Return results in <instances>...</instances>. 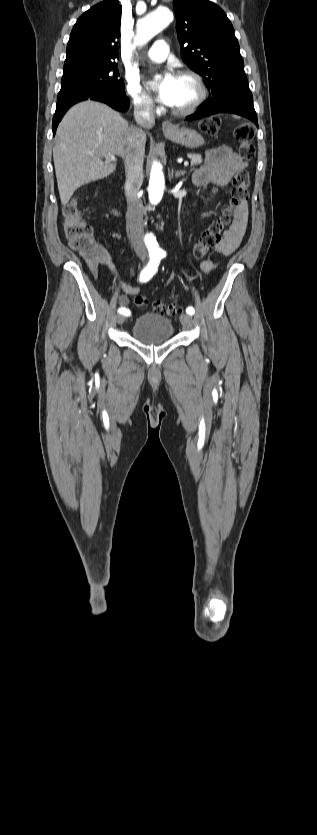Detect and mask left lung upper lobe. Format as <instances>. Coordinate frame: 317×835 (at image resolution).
Instances as JSON below:
<instances>
[{"mask_svg": "<svg viewBox=\"0 0 317 835\" xmlns=\"http://www.w3.org/2000/svg\"><path fill=\"white\" fill-rule=\"evenodd\" d=\"M176 30L185 63L200 74L216 103L236 89L249 90L234 28L208 0H173Z\"/></svg>", "mask_w": 317, "mask_h": 835, "instance_id": "left-lung-upper-lobe-1", "label": "left lung upper lobe"}]
</instances>
